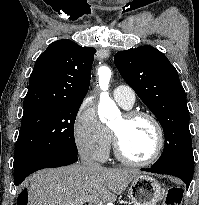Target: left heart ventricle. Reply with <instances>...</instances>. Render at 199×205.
<instances>
[{
	"label": "left heart ventricle",
	"instance_id": "1",
	"mask_svg": "<svg viewBox=\"0 0 199 205\" xmlns=\"http://www.w3.org/2000/svg\"><path fill=\"white\" fill-rule=\"evenodd\" d=\"M117 132L122 151L135 160L148 158L156 145V132L152 123L146 118L125 120L119 116L112 124Z\"/></svg>",
	"mask_w": 199,
	"mask_h": 205
}]
</instances>
